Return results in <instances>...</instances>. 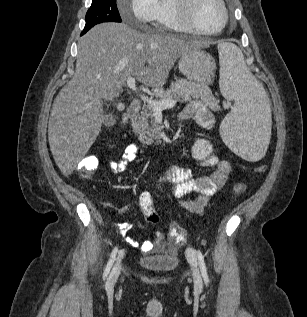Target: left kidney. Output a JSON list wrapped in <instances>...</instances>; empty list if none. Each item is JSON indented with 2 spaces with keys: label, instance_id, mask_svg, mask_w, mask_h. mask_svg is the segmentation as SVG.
<instances>
[{
  "label": "left kidney",
  "instance_id": "5707ae66",
  "mask_svg": "<svg viewBox=\"0 0 307 317\" xmlns=\"http://www.w3.org/2000/svg\"><path fill=\"white\" fill-rule=\"evenodd\" d=\"M212 145L204 139H198L192 146V157L196 160H204L212 153Z\"/></svg>",
  "mask_w": 307,
  "mask_h": 317
}]
</instances>
